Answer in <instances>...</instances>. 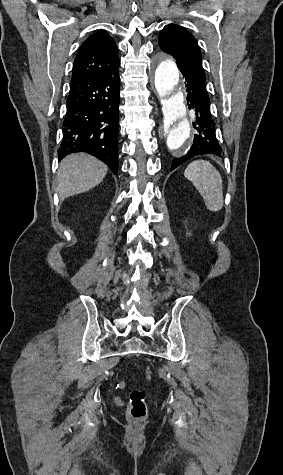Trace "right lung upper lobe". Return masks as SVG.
<instances>
[{
  "label": "right lung upper lobe",
  "instance_id": "1",
  "mask_svg": "<svg viewBox=\"0 0 283 475\" xmlns=\"http://www.w3.org/2000/svg\"><path fill=\"white\" fill-rule=\"evenodd\" d=\"M118 48L105 30L91 35L79 48L72 79L103 76L119 69Z\"/></svg>",
  "mask_w": 283,
  "mask_h": 475
}]
</instances>
